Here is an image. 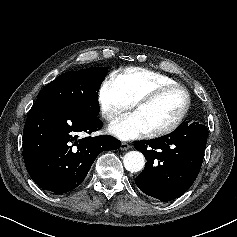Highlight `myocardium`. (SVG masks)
Listing matches in <instances>:
<instances>
[{
    "label": "myocardium",
    "mask_w": 237,
    "mask_h": 237,
    "mask_svg": "<svg viewBox=\"0 0 237 237\" xmlns=\"http://www.w3.org/2000/svg\"><path fill=\"white\" fill-rule=\"evenodd\" d=\"M170 90H180L183 92V94L185 96L184 106H183L182 110L180 111V113L178 114V116L169 125L159 128V129H156V130H153V131H149V136H151V137H160V136L169 134V133L173 132L181 124V122L185 118V116L190 108V104H191V97H190L189 91L184 86L177 84V83L161 85V86L154 88L152 91L145 94L144 96L140 97L133 104L134 109L137 107H140L142 105H146L148 103L153 102L158 97H160L162 94H164L165 92L170 91Z\"/></svg>",
    "instance_id": "myocardium-1"
}]
</instances>
